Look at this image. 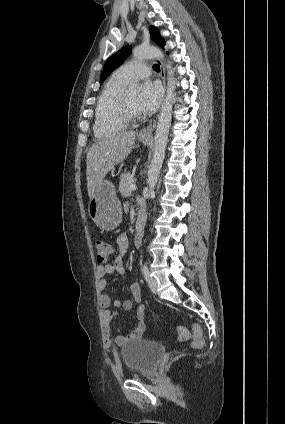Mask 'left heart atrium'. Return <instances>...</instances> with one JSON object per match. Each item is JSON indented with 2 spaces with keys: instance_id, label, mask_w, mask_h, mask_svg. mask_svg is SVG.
<instances>
[{
  "instance_id": "left-heart-atrium-1",
  "label": "left heart atrium",
  "mask_w": 285,
  "mask_h": 424,
  "mask_svg": "<svg viewBox=\"0 0 285 424\" xmlns=\"http://www.w3.org/2000/svg\"><path fill=\"white\" fill-rule=\"evenodd\" d=\"M162 89L156 82L145 81L137 99V110L139 113H151L154 112L161 101Z\"/></svg>"
}]
</instances>
